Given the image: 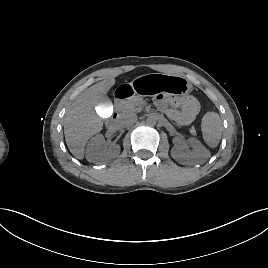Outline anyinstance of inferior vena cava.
Instances as JSON below:
<instances>
[{
  "label": "inferior vena cava",
  "instance_id": "inferior-vena-cava-1",
  "mask_svg": "<svg viewBox=\"0 0 268 268\" xmlns=\"http://www.w3.org/2000/svg\"><path fill=\"white\" fill-rule=\"evenodd\" d=\"M136 121H137V115L135 113H128V114H125L120 119V124L123 127H128L130 125H133Z\"/></svg>",
  "mask_w": 268,
  "mask_h": 268
}]
</instances>
